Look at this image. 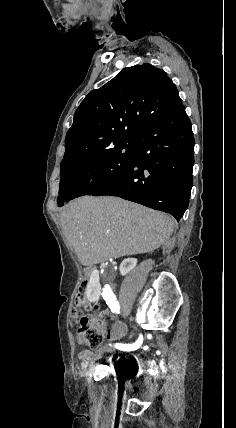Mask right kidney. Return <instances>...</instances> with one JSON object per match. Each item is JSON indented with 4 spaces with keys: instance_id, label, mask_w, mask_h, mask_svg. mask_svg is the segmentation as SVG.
I'll return each instance as SVG.
<instances>
[{
    "instance_id": "right-kidney-1",
    "label": "right kidney",
    "mask_w": 236,
    "mask_h": 428,
    "mask_svg": "<svg viewBox=\"0 0 236 428\" xmlns=\"http://www.w3.org/2000/svg\"><path fill=\"white\" fill-rule=\"evenodd\" d=\"M137 262L138 260H136V258H126V260H123L119 268L121 276H126V274H129L130 270H133V268L137 266ZM98 278V270H94V272H92L91 274L89 284L86 288V296L89 302H97L99 298L100 290ZM100 288L102 289L103 287L101 286Z\"/></svg>"
}]
</instances>
